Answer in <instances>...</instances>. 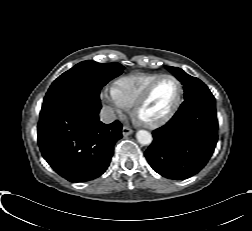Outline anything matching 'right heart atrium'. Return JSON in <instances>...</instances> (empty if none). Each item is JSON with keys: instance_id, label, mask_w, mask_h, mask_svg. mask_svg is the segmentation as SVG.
Wrapping results in <instances>:
<instances>
[{"instance_id": "1", "label": "right heart atrium", "mask_w": 252, "mask_h": 231, "mask_svg": "<svg viewBox=\"0 0 252 231\" xmlns=\"http://www.w3.org/2000/svg\"><path fill=\"white\" fill-rule=\"evenodd\" d=\"M102 100L108 105L111 117H121L128 111L129 107L118 97L114 87L105 90L102 94Z\"/></svg>"}]
</instances>
